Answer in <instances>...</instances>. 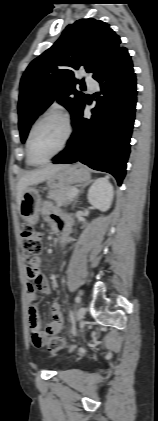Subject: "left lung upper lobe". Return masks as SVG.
Segmentation results:
<instances>
[{
  "mask_svg": "<svg viewBox=\"0 0 158 421\" xmlns=\"http://www.w3.org/2000/svg\"><path fill=\"white\" fill-rule=\"evenodd\" d=\"M120 43L119 36L103 21L80 19L68 25L22 76L18 103L21 141L55 99L71 112L73 121L86 102L85 95L75 89L78 81L74 71L82 67L94 78L112 60Z\"/></svg>",
  "mask_w": 158,
  "mask_h": 421,
  "instance_id": "5c2ea615",
  "label": "left lung upper lobe"
}]
</instances>
